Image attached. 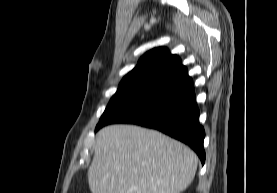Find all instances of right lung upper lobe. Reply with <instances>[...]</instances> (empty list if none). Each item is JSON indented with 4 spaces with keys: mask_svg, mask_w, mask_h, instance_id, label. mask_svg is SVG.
Here are the masks:
<instances>
[{
    "mask_svg": "<svg viewBox=\"0 0 277 193\" xmlns=\"http://www.w3.org/2000/svg\"><path fill=\"white\" fill-rule=\"evenodd\" d=\"M188 77L187 68L178 56L165 47L147 52L136 67L120 82L118 90L152 93Z\"/></svg>",
    "mask_w": 277,
    "mask_h": 193,
    "instance_id": "right-lung-upper-lobe-1",
    "label": "right lung upper lobe"
}]
</instances>
